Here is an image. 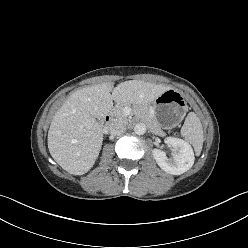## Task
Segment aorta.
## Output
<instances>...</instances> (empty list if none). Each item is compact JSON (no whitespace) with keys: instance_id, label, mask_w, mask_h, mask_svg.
<instances>
[{"instance_id":"1","label":"aorta","mask_w":248,"mask_h":248,"mask_svg":"<svg viewBox=\"0 0 248 248\" xmlns=\"http://www.w3.org/2000/svg\"><path fill=\"white\" fill-rule=\"evenodd\" d=\"M147 127L144 123H138L134 126V132L137 135H143L146 133Z\"/></svg>"}]
</instances>
